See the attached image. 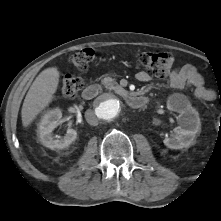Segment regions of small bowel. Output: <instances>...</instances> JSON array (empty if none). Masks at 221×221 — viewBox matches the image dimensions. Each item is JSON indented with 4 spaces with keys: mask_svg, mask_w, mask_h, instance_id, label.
Instances as JSON below:
<instances>
[{
    "mask_svg": "<svg viewBox=\"0 0 221 221\" xmlns=\"http://www.w3.org/2000/svg\"><path fill=\"white\" fill-rule=\"evenodd\" d=\"M136 78L140 82H147L150 80L149 74L144 71L138 72ZM169 84L174 89H183L186 86L193 87L194 95L200 100L213 101L216 97L212 89L204 86L202 76L191 64H185L174 70L170 75Z\"/></svg>",
    "mask_w": 221,
    "mask_h": 221,
    "instance_id": "obj_1",
    "label": "small bowel"
}]
</instances>
